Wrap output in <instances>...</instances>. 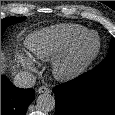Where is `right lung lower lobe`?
Here are the masks:
<instances>
[{"mask_svg": "<svg viewBox=\"0 0 115 115\" xmlns=\"http://www.w3.org/2000/svg\"><path fill=\"white\" fill-rule=\"evenodd\" d=\"M34 98L32 88H17L6 76H1V115H25Z\"/></svg>", "mask_w": 115, "mask_h": 115, "instance_id": "right-lung-lower-lobe-1", "label": "right lung lower lobe"}]
</instances>
